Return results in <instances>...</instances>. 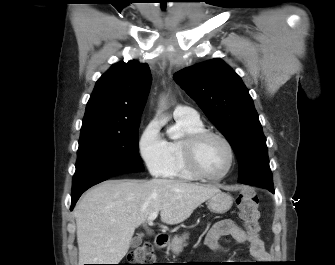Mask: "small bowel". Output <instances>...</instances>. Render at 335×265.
<instances>
[{"label":"small bowel","instance_id":"c3829d8e","mask_svg":"<svg viewBox=\"0 0 335 265\" xmlns=\"http://www.w3.org/2000/svg\"><path fill=\"white\" fill-rule=\"evenodd\" d=\"M225 236H231L237 244L248 243L250 255L255 260L267 259L264 243L259 234L243 230L230 219L221 220L210 229L205 238V245L211 250L224 252L226 249L221 245L220 240Z\"/></svg>","mask_w":335,"mask_h":265}]
</instances>
